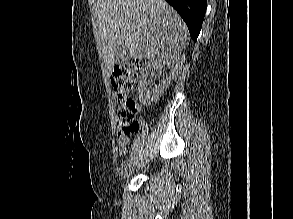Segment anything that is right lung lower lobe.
Listing matches in <instances>:
<instances>
[{
  "mask_svg": "<svg viewBox=\"0 0 293 219\" xmlns=\"http://www.w3.org/2000/svg\"><path fill=\"white\" fill-rule=\"evenodd\" d=\"M186 22L191 38L196 41L204 20L207 0H166Z\"/></svg>",
  "mask_w": 293,
  "mask_h": 219,
  "instance_id": "right-lung-lower-lobe-1",
  "label": "right lung lower lobe"
}]
</instances>
